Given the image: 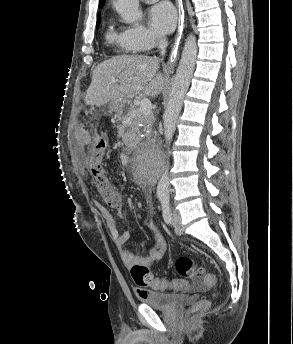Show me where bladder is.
I'll return each mask as SVG.
<instances>
[{
  "mask_svg": "<svg viewBox=\"0 0 293 344\" xmlns=\"http://www.w3.org/2000/svg\"><path fill=\"white\" fill-rule=\"evenodd\" d=\"M140 299L144 304L161 310H174L180 304L190 300L187 296L181 294L160 291H147Z\"/></svg>",
  "mask_w": 293,
  "mask_h": 344,
  "instance_id": "1",
  "label": "bladder"
}]
</instances>
